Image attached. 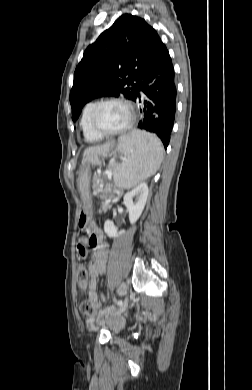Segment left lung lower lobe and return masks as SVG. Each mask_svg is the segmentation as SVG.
<instances>
[{"label": "left lung lower lobe", "instance_id": "1", "mask_svg": "<svg viewBox=\"0 0 252 390\" xmlns=\"http://www.w3.org/2000/svg\"><path fill=\"white\" fill-rule=\"evenodd\" d=\"M139 91L145 96L138 128L155 133L167 148L176 113L177 88L172 59L164 44L143 74L135 102H141Z\"/></svg>", "mask_w": 252, "mask_h": 390}]
</instances>
